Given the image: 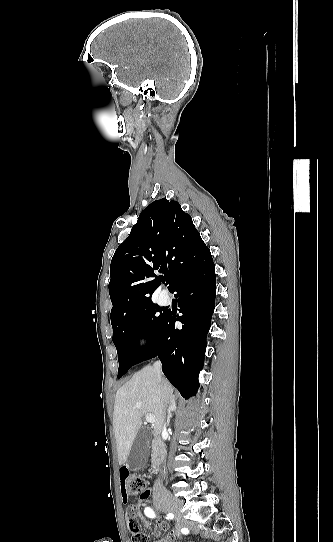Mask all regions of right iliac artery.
Returning a JSON list of instances; mask_svg holds the SVG:
<instances>
[{"mask_svg":"<svg viewBox=\"0 0 333 542\" xmlns=\"http://www.w3.org/2000/svg\"><path fill=\"white\" fill-rule=\"evenodd\" d=\"M144 512H145V515H146L147 517H150V518H154V517H155L154 511H153L151 508H149V507L145 508ZM167 518H168V517H167Z\"/></svg>","mask_w":333,"mask_h":542,"instance_id":"right-iliac-artery-1","label":"right iliac artery"}]
</instances>
